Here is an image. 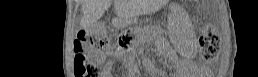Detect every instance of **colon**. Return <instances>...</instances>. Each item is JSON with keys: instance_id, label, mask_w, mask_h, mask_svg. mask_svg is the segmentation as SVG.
Wrapping results in <instances>:
<instances>
[{"instance_id": "colon-1", "label": "colon", "mask_w": 258, "mask_h": 77, "mask_svg": "<svg viewBox=\"0 0 258 77\" xmlns=\"http://www.w3.org/2000/svg\"><path fill=\"white\" fill-rule=\"evenodd\" d=\"M133 35L130 32H123L118 38V44L128 47L132 43ZM77 48L75 58V71L77 76L83 77L95 70L90 65L84 50H102L108 46L106 28L102 23L81 29L76 37ZM200 52L204 59H216L220 52V37L209 25L205 26L200 36Z\"/></svg>"}]
</instances>
